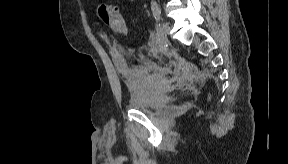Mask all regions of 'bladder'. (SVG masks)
Instances as JSON below:
<instances>
[{
    "label": "bladder",
    "instance_id": "obj_1",
    "mask_svg": "<svg viewBox=\"0 0 288 164\" xmlns=\"http://www.w3.org/2000/svg\"><path fill=\"white\" fill-rule=\"evenodd\" d=\"M115 49L120 57L126 58L128 56V53L124 47L115 45ZM158 103V94L154 90H146L131 100L130 107L142 113H150L157 108Z\"/></svg>",
    "mask_w": 288,
    "mask_h": 164
}]
</instances>
